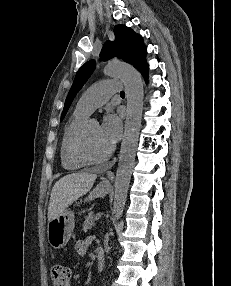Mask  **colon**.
<instances>
[{
	"mask_svg": "<svg viewBox=\"0 0 231 286\" xmlns=\"http://www.w3.org/2000/svg\"><path fill=\"white\" fill-rule=\"evenodd\" d=\"M51 278L53 286H70L71 269L63 263H56L51 269Z\"/></svg>",
	"mask_w": 231,
	"mask_h": 286,
	"instance_id": "5ec220e1",
	"label": "colon"
}]
</instances>
